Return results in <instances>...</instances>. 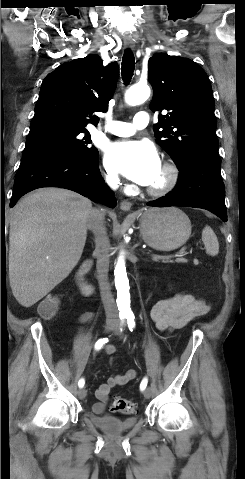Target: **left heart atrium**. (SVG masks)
I'll return each instance as SVG.
<instances>
[{
	"label": "left heart atrium",
	"mask_w": 245,
	"mask_h": 479,
	"mask_svg": "<svg viewBox=\"0 0 245 479\" xmlns=\"http://www.w3.org/2000/svg\"><path fill=\"white\" fill-rule=\"evenodd\" d=\"M106 165L132 181L151 185L161 170L155 147L148 141H121L109 145L105 155Z\"/></svg>",
	"instance_id": "39dd6f15"
}]
</instances>
